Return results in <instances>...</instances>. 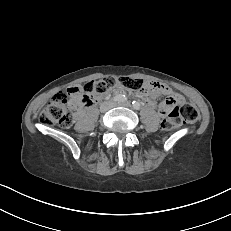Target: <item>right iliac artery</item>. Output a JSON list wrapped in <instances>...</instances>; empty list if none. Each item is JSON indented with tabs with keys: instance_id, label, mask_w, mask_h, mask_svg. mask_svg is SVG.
<instances>
[{
	"instance_id": "1",
	"label": "right iliac artery",
	"mask_w": 231,
	"mask_h": 231,
	"mask_svg": "<svg viewBox=\"0 0 231 231\" xmlns=\"http://www.w3.org/2000/svg\"><path fill=\"white\" fill-rule=\"evenodd\" d=\"M127 99V97L124 94H119L114 97V102H123Z\"/></svg>"
}]
</instances>
